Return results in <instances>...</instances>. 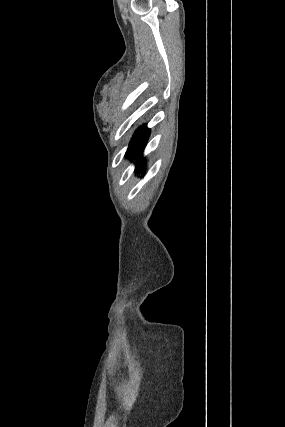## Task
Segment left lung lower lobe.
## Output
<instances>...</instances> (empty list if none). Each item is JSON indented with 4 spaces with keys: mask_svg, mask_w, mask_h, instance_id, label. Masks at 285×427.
<instances>
[{
    "mask_svg": "<svg viewBox=\"0 0 285 427\" xmlns=\"http://www.w3.org/2000/svg\"><path fill=\"white\" fill-rule=\"evenodd\" d=\"M149 137V129L146 126L140 127L134 134L126 155L136 165V168L143 170L142 164L144 162L143 150Z\"/></svg>",
    "mask_w": 285,
    "mask_h": 427,
    "instance_id": "1",
    "label": "left lung lower lobe"
}]
</instances>
